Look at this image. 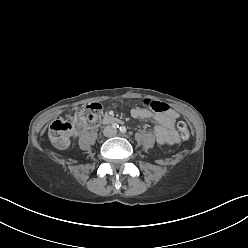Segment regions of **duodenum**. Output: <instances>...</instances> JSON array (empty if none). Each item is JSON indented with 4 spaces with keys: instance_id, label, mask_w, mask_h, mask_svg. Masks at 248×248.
Masks as SVG:
<instances>
[{
    "instance_id": "duodenum-1",
    "label": "duodenum",
    "mask_w": 248,
    "mask_h": 248,
    "mask_svg": "<svg viewBox=\"0 0 248 248\" xmlns=\"http://www.w3.org/2000/svg\"><path fill=\"white\" fill-rule=\"evenodd\" d=\"M102 122L105 124H117L120 123L121 120L115 116L105 115L102 119Z\"/></svg>"
}]
</instances>
